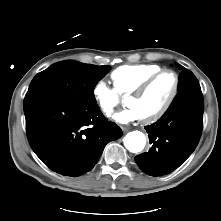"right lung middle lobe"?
I'll list each match as a JSON object with an SVG mask.
<instances>
[{
  "mask_svg": "<svg viewBox=\"0 0 221 221\" xmlns=\"http://www.w3.org/2000/svg\"><path fill=\"white\" fill-rule=\"evenodd\" d=\"M110 66H96L73 60L51 65L30 83L25 98L52 97L83 106H96L93 90Z\"/></svg>",
  "mask_w": 221,
  "mask_h": 221,
  "instance_id": "dd1d6c3e",
  "label": "right lung middle lobe"
}]
</instances>
